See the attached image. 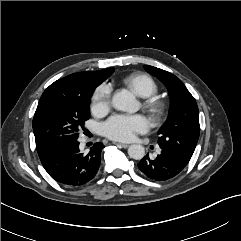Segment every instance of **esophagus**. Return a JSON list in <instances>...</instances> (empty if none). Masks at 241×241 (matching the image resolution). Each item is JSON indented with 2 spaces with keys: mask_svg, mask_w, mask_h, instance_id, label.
I'll use <instances>...</instances> for the list:
<instances>
[{
  "mask_svg": "<svg viewBox=\"0 0 241 241\" xmlns=\"http://www.w3.org/2000/svg\"><path fill=\"white\" fill-rule=\"evenodd\" d=\"M115 144H117V145H119V146H121L123 148L129 147V144H126V143H115Z\"/></svg>",
  "mask_w": 241,
  "mask_h": 241,
  "instance_id": "1",
  "label": "esophagus"
}]
</instances>
